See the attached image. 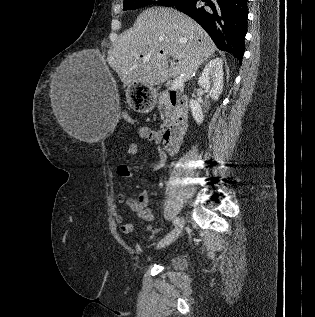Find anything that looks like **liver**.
Segmentation results:
<instances>
[{"label":"liver","mask_w":315,"mask_h":317,"mask_svg":"<svg viewBox=\"0 0 315 317\" xmlns=\"http://www.w3.org/2000/svg\"><path fill=\"white\" fill-rule=\"evenodd\" d=\"M215 50L209 35L190 17L172 8L152 7L143 11L133 27L120 37L108 52L107 62L124 85L153 86L180 75L184 80L190 79L203 59ZM69 63L70 59L64 61L60 69L66 70ZM51 102L63 130L71 137L82 139L81 122L69 105L55 96Z\"/></svg>","instance_id":"obj_1"}]
</instances>
